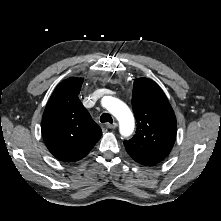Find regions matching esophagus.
<instances>
[{
  "mask_svg": "<svg viewBox=\"0 0 221 221\" xmlns=\"http://www.w3.org/2000/svg\"><path fill=\"white\" fill-rule=\"evenodd\" d=\"M106 126H107V128H109V129H115V128L118 126V124L115 122V123H113V124H107Z\"/></svg>",
  "mask_w": 221,
  "mask_h": 221,
  "instance_id": "34e87169",
  "label": "esophagus"
}]
</instances>
